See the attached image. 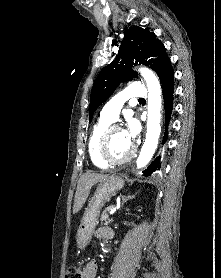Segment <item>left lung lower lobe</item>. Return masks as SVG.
<instances>
[{"instance_id":"left-lung-lower-lobe-1","label":"left lung lower lobe","mask_w":221,"mask_h":278,"mask_svg":"<svg viewBox=\"0 0 221 278\" xmlns=\"http://www.w3.org/2000/svg\"><path fill=\"white\" fill-rule=\"evenodd\" d=\"M158 76L160 78L163 98H164V109H165V117H166V129L163 138V143L167 140V126L170 121L172 105H173V90H174V74L172 70V66L170 61L166 64L164 68H162ZM160 156L157 157L147 168V170L143 171L144 176H150L153 172L160 169Z\"/></svg>"}]
</instances>
